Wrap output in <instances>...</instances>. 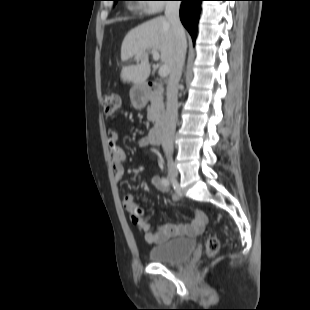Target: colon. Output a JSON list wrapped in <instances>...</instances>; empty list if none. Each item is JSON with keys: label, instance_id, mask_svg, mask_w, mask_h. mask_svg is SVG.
Here are the masks:
<instances>
[{"label": "colon", "instance_id": "colon-1", "mask_svg": "<svg viewBox=\"0 0 310 310\" xmlns=\"http://www.w3.org/2000/svg\"><path fill=\"white\" fill-rule=\"evenodd\" d=\"M101 105L107 115H113L119 108L120 100L116 94H105L101 98ZM219 240L215 236H209L206 241V253L212 257L219 251Z\"/></svg>", "mask_w": 310, "mask_h": 310}]
</instances>
